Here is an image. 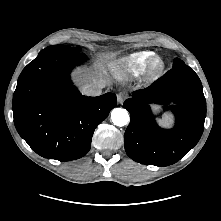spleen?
Returning <instances> with one entry per match:
<instances>
[{"label":"spleen","instance_id":"1","mask_svg":"<svg viewBox=\"0 0 221 221\" xmlns=\"http://www.w3.org/2000/svg\"><path fill=\"white\" fill-rule=\"evenodd\" d=\"M171 122H172L171 115L169 113H166L165 116H164V119H163V124L165 126H170Z\"/></svg>","mask_w":221,"mask_h":221}]
</instances>
